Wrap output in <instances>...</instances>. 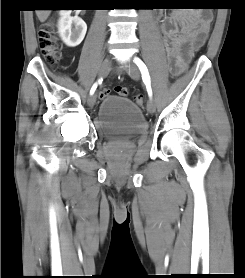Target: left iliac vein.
Listing matches in <instances>:
<instances>
[{
    "mask_svg": "<svg viewBox=\"0 0 245 278\" xmlns=\"http://www.w3.org/2000/svg\"><path fill=\"white\" fill-rule=\"evenodd\" d=\"M125 69L133 79L138 80L140 78V71L136 65L132 64L131 62H127L125 65ZM147 110L150 113L155 112V103L152 99L148 101Z\"/></svg>",
    "mask_w": 245,
    "mask_h": 278,
    "instance_id": "1",
    "label": "left iliac vein"
}]
</instances>
